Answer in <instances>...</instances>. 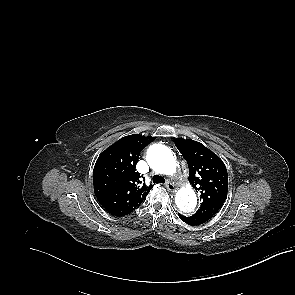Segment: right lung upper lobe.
<instances>
[{
	"label": "right lung upper lobe",
	"mask_w": 295,
	"mask_h": 295,
	"mask_svg": "<svg viewBox=\"0 0 295 295\" xmlns=\"http://www.w3.org/2000/svg\"><path fill=\"white\" fill-rule=\"evenodd\" d=\"M155 137L125 136L98 157L93 170L95 195L112 215L131 213L146 198L152 185L142 182L136 172L139 154Z\"/></svg>",
	"instance_id": "obj_1"
}]
</instances>
